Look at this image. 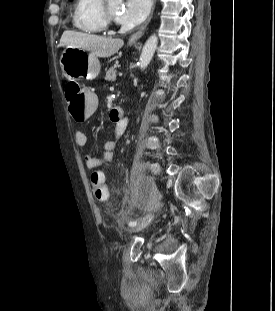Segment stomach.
<instances>
[{"instance_id": "obj_1", "label": "stomach", "mask_w": 275, "mask_h": 311, "mask_svg": "<svg viewBox=\"0 0 275 311\" xmlns=\"http://www.w3.org/2000/svg\"><path fill=\"white\" fill-rule=\"evenodd\" d=\"M64 76L69 80L95 79L100 73L98 57L85 49L66 47L60 58Z\"/></svg>"}]
</instances>
